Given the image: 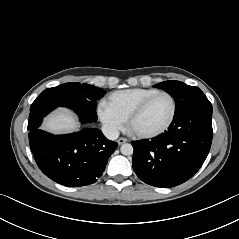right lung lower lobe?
Instances as JSON below:
<instances>
[{
	"instance_id": "right-lung-lower-lobe-1",
	"label": "right lung lower lobe",
	"mask_w": 239,
	"mask_h": 239,
	"mask_svg": "<svg viewBox=\"0 0 239 239\" xmlns=\"http://www.w3.org/2000/svg\"><path fill=\"white\" fill-rule=\"evenodd\" d=\"M96 119L97 114L92 121L80 118L82 123H91ZM40 124L28 129L35 161L46 176L65 186L80 187L95 183L118 146L96 128L52 135L40 130Z\"/></svg>"
}]
</instances>
